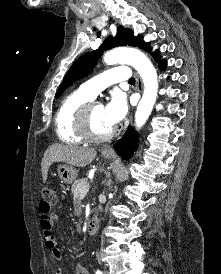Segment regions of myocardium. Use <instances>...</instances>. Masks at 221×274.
I'll return each mask as SVG.
<instances>
[{
  "label": "myocardium",
  "mask_w": 221,
  "mask_h": 274,
  "mask_svg": "<svg viewBox=\"0 0 221 274\" xmlns=\"http://www.w3.org/2000/svg\"><path fill=\"white\" fill-rule=\"evenodd\" d=\"M96 105H100V102L92 100L84 104L78 111L76 125L79 133L85 140L91 142H104L113 136V131L110 130L104 134H99L94 131L91 123V112Z\"/></svg>",
  "instance_id": "obj_1"
}]
</instances>
